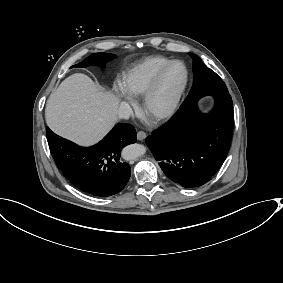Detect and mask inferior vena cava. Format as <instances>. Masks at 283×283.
I'll return each mask as SVG.
<instances>
[{"label":"inferior vena cava","mask_w":283,"mask_h":283,"mask_svg":"<svg viewBox=\"0 0 283 283\" xmlns=\"http://www.w3.org/2000/svg\"><path fill=\"white\" fill-rule=\"evenodd\" d=\"M133 115L132 108L126 102H122L118 109V117L120 119H129V117Z\"/></svg>","instance_id":"obj_1"}]
</instances>
